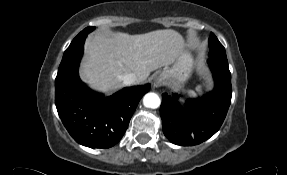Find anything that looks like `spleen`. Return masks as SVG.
<instances>
[{
  "label": "spleen",
  "mask_w": 287,
  "mask_h": 175,
  "mask_svg": "<svg viewBox=\"0 0 287 175\" xmlns=\"http://www.w3.org/2000/svg\"><path fill=\"white\" fill-rule=\"evenodd\" d=\"M196 92L198 93V94H202V85H198L197 87H196ZM195 91H193V90H188L187 91V94L190 96V97H196L197 96V93H196Z\"/></svg>",
  "instance_id": "spleen-1"
}]
</instances>
